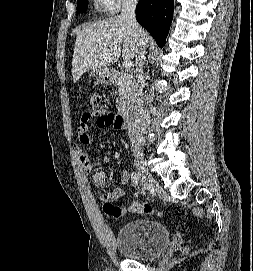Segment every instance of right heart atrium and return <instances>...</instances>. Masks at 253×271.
Here are the masks:
<instances>
[{
  "label": "right heart atrium",
  "mask_w": 253,
  "mask_h": 271,
  "mask_svg": "<svg viewBox=\"0 0 253 271\" xmlns=\"http://www.w3.org/2000/svg\"><path fill=\"white\" fill-rule=\"evenodd\" d=\"M136 1L137 0H97L101 9L107 13H115L122 7V5Z\"/></svg>",
  "instance_id": "d8ad5b80"
}]
</instances>
